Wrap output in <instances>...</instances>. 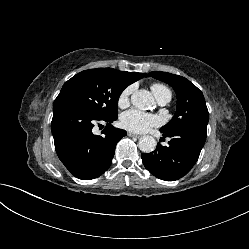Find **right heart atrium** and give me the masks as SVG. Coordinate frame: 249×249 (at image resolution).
Segmentation results:
<instances>
[{
	"mask_svg": "<svg viewBox=\"0 0 249 249\" xmlns=\"http://www.w3.org/2000/svg\"><path fill=\"white\" fill-rule=\"evenodd\" d=\"M133 91V87L129 86L124 89L118 97V105L120 107H125L129 104L130 95Z\"/></svg>",
	"mask_w": 249,
	"mask_h": 249,
	"instance_id": "1",
	"label": "right heart atrium"
}]
</instances>
